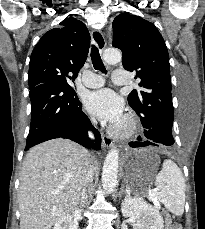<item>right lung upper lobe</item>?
<instances>
[{
  "mask_svg": "<svg viewBox=\"0 0 205 229\" xmlns=\"http://www.w3.org/2000/svg\"><path fill=\"white\" fill-rule=\"evenodd\" d=\"M60 25L45 33L33 49L29 63V89L54 82L56 77L75 80L86 61L90 46L86 26L75 18H67Z\"/></svg>",
  "mask_w": 205,
  "mask_h": 229,
  "instance_id": "obj_1",
  "label": "right lung upper lobe"
}]
</instances>
